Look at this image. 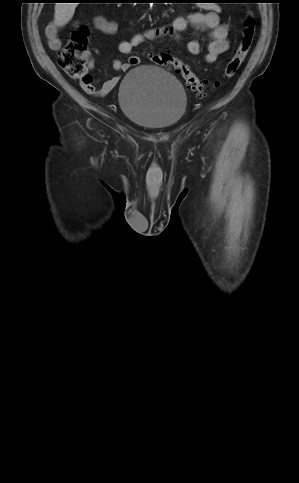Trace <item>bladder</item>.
Listing matches in <instances>:
<instances>
[{"label": "bladder", "mask_w": 299, "mask_h": 483, "mask_svg": "<svg viewBox=\"0 0 299 483\" xmlns=\"http://www.w3.org/2000/svg\"><path fill=\"white\" fill-rule=\"evenodd\" d=\"M118 101L127 119L152 130L173 127L188 106L182 83L153 65H138L128 71L120 83Z\"/></svg>", "instance_id": "1"}]
</instances>
